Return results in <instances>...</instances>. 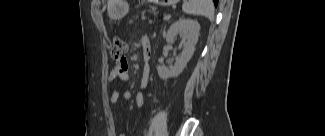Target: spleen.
I'll use <instances>...</instances> for the list:
<instances>
[{"mask_svg": "<svg viewBox=\"0 0 325 136\" xmlns=\"http://www.w3.org/2000/svg\"><path fill=\"white\" fill-rule=\"evenodd\" d=\"M182 10L189 15H201L209 20L214 18V5L212 0H185Z\"/></svg>", "mask_w": 325, "mask_h": 136, "instance_id": "1", "label": "spleen"}]
</instances>
